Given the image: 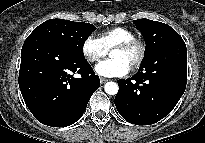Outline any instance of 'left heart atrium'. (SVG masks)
<instances>
[{"label":"left heart atrium","instance_id":"obj_1","mask_svg":"<svg viewBox=\"0 0 205 143\" xmlns=\"http://www.w3.org/2000/svg\"><path fill=\"white\" fill-rule=\"evenodd\" d=\"M95 70L99 75L111 78L125 76L130 67L122 60L110 58L97 64Z\"/></svg>","mask_w":205,"mask_h":143}]
</instances>
